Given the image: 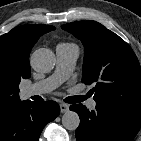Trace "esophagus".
<instances>
[{
    "label": "esophagus",
    "mask_w": 141,
    "mask_h": 141,
    "mask_svg": "<svg viewBox=\"0 0 141 141\" xmlns=\"http://www.w3.org/2000/svg\"><path fill=\"white\" fill-rule=\"evenodd\" d=\"M60 110H61V113L67 112L69 110V105L64 103L60 104Z\"/></svg>",
    "instance_id": "34e87169"
}]
</instances>
